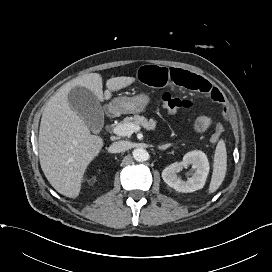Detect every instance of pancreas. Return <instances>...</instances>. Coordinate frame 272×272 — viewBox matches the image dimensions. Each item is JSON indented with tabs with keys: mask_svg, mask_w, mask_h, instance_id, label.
I'll return each mask as SVG.
<instances>
[{
	"mask_svg": "<svg viewBox=\"0 0 272 272\" xmlns=\"http://www.w3.org/2000/svg\"><path fill=\"white\" fill-rule=\"evenodd\" d=\"M121 124H134V125H141L147 130H155L157 122L153 119L147 120L143 116L134 115L133 117H126Z\"/></svg>",
	"mask_w": 272,
	"mask_h": 272,
	"instance_id": "pancreas-1",
	"label": "pancreas"
}]
</instances>
